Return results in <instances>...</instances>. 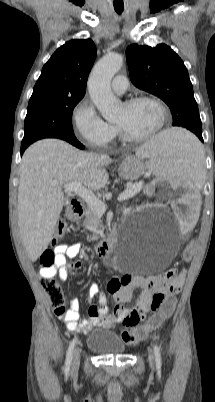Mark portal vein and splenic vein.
<instances>
[{
    "label": "portal vein and splenic vein",
    "mask_w": 215,
    "mask_h": 402,
    "mask_svg": "<svg viewBox=\"0 0 215 402\" xmlns=\"http://www.w3.org/2000/svg\"><path fill=\"white\" fill-rule=\"evenodd\" d=\"M143 183L140 182L135 187H129L124 192H122L118 200L124 201L128 198L136 195L142 188ZM63 188L67 192H72L81 197L87 204V206L92 209L98 215H103L106 211V206L99 198H97L89 189L85 188L80 182L74 181L70 183L63 184Z\"/></svg>",
    "instance_id": "1"
}]
</instances>
